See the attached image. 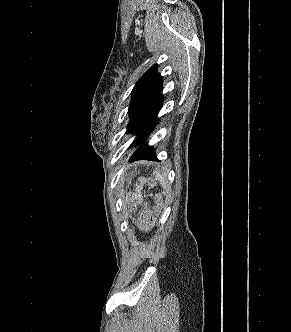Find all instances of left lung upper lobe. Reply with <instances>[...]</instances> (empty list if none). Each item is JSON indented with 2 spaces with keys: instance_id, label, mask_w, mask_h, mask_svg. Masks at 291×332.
Listing matches in <instances>:
<instances>
[{
  "instance_id": "left-lung-upper-lobe-1",
  "label": "left lung upper lobe",
  "mask_w": 291,
  "mask_h": 332,
  "mask_svg": "<svg viewBox=\"0 0 291 332\" xmlns=\"http://www.w3.org/2000/svg\"><path fill=\"white\" fill-rule=\"evenodd\" d=\"M157 67L158 65L155 64L149 68L132 89V98L128 109L130 121L127 126V133L139 130L145 106L162 91V77L157 73Z\"/></svg>"
}]
</instances>
